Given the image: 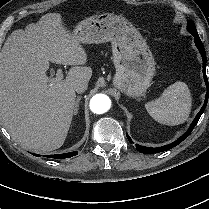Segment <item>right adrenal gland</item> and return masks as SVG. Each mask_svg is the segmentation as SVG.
Segmentation results:
<instances>
[{"label": "right adrenal gland", "mask_w": 209, "mask_h": 209, "mask_svg": "<svg viewBox=\"0 0 209 209\" xmlns=\"http://www.w3.org/2000/svg\"><path fill=\"white\" fill-rule=\"evenodd\" d=\"M80 100H81V96L77 97L76 102H75L74 111H73L74 115H76L78 113Z\"/></svg>", "instance_id": "right-adrenal-gland-1"}]
</instances>
